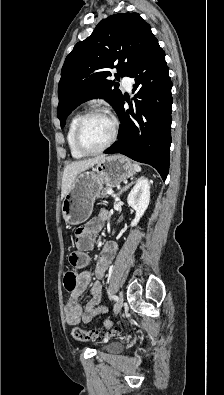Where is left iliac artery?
<instances>
[{"mask_svg":"<svg viewBox=\"0 0 224 395\" xmlns=\"http://www.w3.org/2000/svg\"><path fill=\"white\" fill-rule=\"evenodd\" d=\"M107 292H108V294H109L110 299H113V300H115V301L118 300V297H117L116 295L111 294L109 289H107Z\"/></svg>","mask_w":224,"mask_h":395,"instance_id":"left-iliac-artery-1","label":"left iliac artery"}]
</instances>
